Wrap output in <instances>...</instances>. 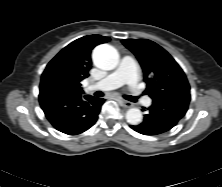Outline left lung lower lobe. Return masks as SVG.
Listing matches in <instances>:
<instances>
[{
    "label": "left lung lower lobe",
    "mask_w": 222,
    "mask_h": 187,
    "mask_svg": "<svg viewBox=\"0 0 222 187\" xmlns=\"http://www.w3.org/2000/svg\"><path fill=\"white\" fill-rule=\"evenodd\" d=\"M190 97L172 96L154 100L141 124L130 127L143 135H159L169 131L185 115Z\"/></svg>",
    "instance_id": "left-lung-lower-lobe-1"
}]
</instances>
